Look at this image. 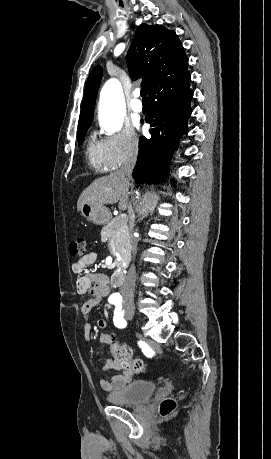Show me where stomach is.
<instances>
[{
    "label": "stomach",
    "instance_id": "obj_1",
    "mask_svg": "<svg viewBox=\"0 0 271 459\" xmlns=\"http://www.w3.org/2000/svg\"><path fill=\"white\" fill-rule=\"evenodd\" d=\"M80 212L81 216L93 224H98V226L108 224L112 218L111 212L102 204H82Z\"/></svg>",
    "mask_w": 271,
    "mask_h": 459
}]
</instances>
